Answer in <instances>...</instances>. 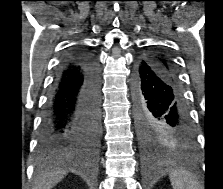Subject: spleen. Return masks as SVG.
I'll return each mask as SVG.
<instances>
[{"label": "spleen", "mask_w": 223, "mask_h": 189, "mask_svg": "<svg viewBox=\"0 0 223 189\" xmlns=\"http://www.w3.org/2000/svg\"><path fill=\"white\" fill-rule=\"evenodd\" d=\"M173 189H195L194 178L187 172L180 170L170 174Z\"/></svg>", "instance_id": "obj_1"}]
</instances>
